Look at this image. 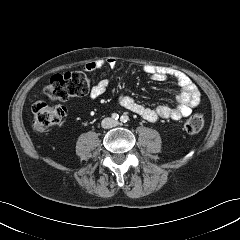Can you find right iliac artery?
Segmentation results:
<instances>
[{
	"mask_svg": "<svg viewBox=\"0 0 240 240\" xmlns=\"http://www.w3.org/2000/svg\"><path fill=\"white\" fill-rule=\"evenodd\" d=\"M112 118H113L114 120H118V119H119V115H118L117 113H113V114H112Z\"/></svg>",
	"mask_w": 240,
	"mask_h": 240,
	"instance_id": "obj_1",
	"label": "right iliac artery"
}]
</instances>
